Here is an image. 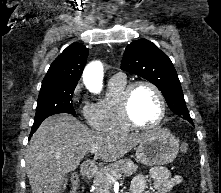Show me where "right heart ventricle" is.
Listing matches in <instances>:
<instances>
[{
	"label": "right heart ventricle",
	"instance_id": "obj_1",
	"mask_svg": "<svg viewBox=\"0 0 221 193\" xmlns=\"http://www.w3.org/2000/svg\"><path fill=\"white\" fill-rule=\"evenodd\" d=\"M128 85L125 77H113L104 98L85 106V118L90 126L106 133H126L132 130L123 118L120 99Z\"/></svg>",
	"mask_w": 221,
	"mask_h": 193
}]
</instances>
